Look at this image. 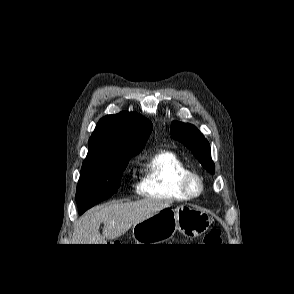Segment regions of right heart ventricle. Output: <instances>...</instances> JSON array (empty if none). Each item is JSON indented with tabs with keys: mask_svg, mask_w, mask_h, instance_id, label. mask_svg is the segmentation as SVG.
<instances>
[{
	"mask_svg": "<svg viewBox=\"0 0 294 294\" xmlns=\"http://www.w3.org/2000/svg\"><path fill=\"white\" fill-rule=\"evenodd\" d=\"M187 171L176 153L169 150L158 151L141 163L137 193L156 199L186 198L180 180Z\"/></svg>",
	"mask_w": 294,
	"mask_h": 294,
	"instance_id": "e07e8e85",
	"label": "right heart ventricle"
}]
</instances>
